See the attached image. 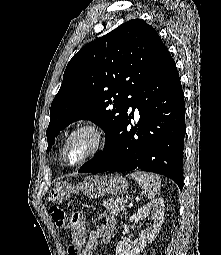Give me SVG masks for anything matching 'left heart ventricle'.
Returning a JSON list of instances; mask_svg holds the SVG:
<instances>
[{
    "mask_svg": "<svg viewBox=\"0 0 221 255\" xmlns=\"http://www.w3.org/2000/svg\"><path fill=\"white\" fill-rule=\"evenodd\" d=\"M93 138L87 132L74 136L68 143L65 156L70 163H75L82 159L91 149Z\"/></svg>",
    "mask_w": 221,
    "mask_h": 255,
    "instance_id": "obj_1",
    "label": "left heart ventricle"
}]
</instances>
